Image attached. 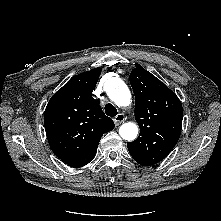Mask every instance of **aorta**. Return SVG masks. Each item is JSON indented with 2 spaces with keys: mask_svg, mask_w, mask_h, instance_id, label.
Instances as JSON below:
<instances>
[{
  "mask_svg": "<svg viewBox=\"0 0 221 221\" xmlns=\"http://www.w3.org/2000/svg\"><path fill=\"white\" fill-rule=\"evenodd\" d=\"M104 89L109 98L119 107H126L131 103V93L128 86L119 78L112 77L105 82ZM120 136L127 141H133L138 135V126L127 122L119 129Z\"/></svg>",
  "mask_w": 221,
  "mask_h": 221,
  "instance_id": "obj_1",
  "label": "aorta"
}]
</instances>
